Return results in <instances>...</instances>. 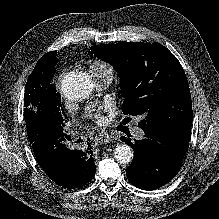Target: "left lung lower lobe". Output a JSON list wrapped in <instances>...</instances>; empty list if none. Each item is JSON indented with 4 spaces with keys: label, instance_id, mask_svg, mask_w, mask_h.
Instances as JSON below:
<instances>
[{
    "label": "left lung lower lobe",
    "instance_id": "0a47b994",
    "mask_svg": "<svg viewBox=\"0 0 219 219\" xmlns=\"http://www.w3.org/2000/svg\"><path fill=\"white\" fill-rule=\"evenodd\" d=\"M145 132V138L132 143L121 137L134 151L127 168V176L138 188L155 190L170 182L179 172L189 147L190 135L167 137L156 132Z\"/></svg>",
    "mask_w": 219,
    "mask_h": 219
}]
</instances>
